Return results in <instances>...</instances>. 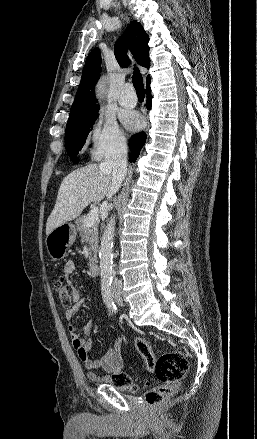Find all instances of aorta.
<instances>
[{
	"mask_svg": "<svg viewBox=\"0 0 257 439\" xmlns=\"http://www.w3.org/2000/svg\"><path fill=\"white\" fill-rule=\"evenodd\" d=\"M104 92V82L102 81L97 89V95L102 96ZM115 215L111 216L102 235L99 250L100 276L102 283H109L114 276L113 270V239L115 234Z\"/></svg>",
	"mask_w": 257,
	"mask_h": 439,
	"instance_id": "762f6f07",
	"label": "aorta"
}]
</instances>
